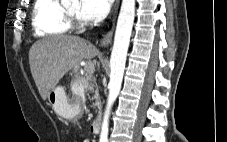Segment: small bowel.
<instances>
[{
    "instance_id": "small-bowel-1",
    "label": "small bowel",
    "mask_w": 227,
    "mask_h": 142,
    "mask_svg": "<svg viewBox=\"0 0 227 142\" xmlns=\"http://www.w3.org/2000/svg\"><path fill=\"white\" fill-rule=\"evenodd\" d=\"M84 142H90L89 140H85Z\"/></svg>"
}]
</instances>
